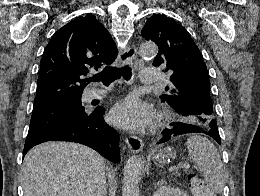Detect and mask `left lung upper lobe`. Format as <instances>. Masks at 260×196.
I'll list each match as a JSON object with an SVG mask.
<instances>
[{
    "instance_id": "left-lung-upper-lobe-1",
    "label": "left lung upper lobe",
    "mask_w": 260,
    "mask_h": 196,
    "mask_svg": "<svg viewBox=\"0 0 260 196\" xmlns=\"http://www.w3.org/2000/svg\"><path fill=\"white\" fill-rule=\"evenodd\" d=\"M141 34L159 47L153 65L171 73V85L166 87V94L159 96L161 102H167L184 122L208 129L215 121L208 72L202 54L187 30L167 16L153 15L146 21ZM200 108L211 113H192Z\"/></svg>"
}]
</instances>
